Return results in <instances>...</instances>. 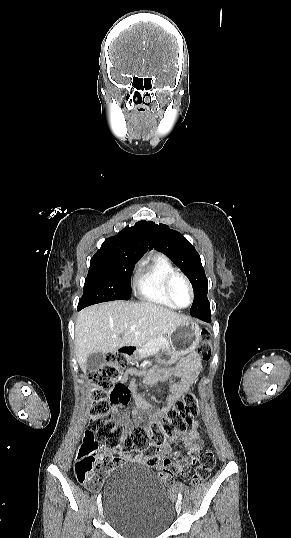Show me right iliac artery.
<instances>
[{"label":"right iliac artery","instance_id":"1","mask_svg":"<svg viewBox=\"0 0 291 538\" xmlns=\"http://www.w3.org/2000/svg\"><path fill=\"white\" fill-rule=\"evenodd\" d=\"M100 500H101V494H99L98 497H97V503L98 504H99Z\"/></svg>","mask_w":291,"mask_h":538}]
</instances>
